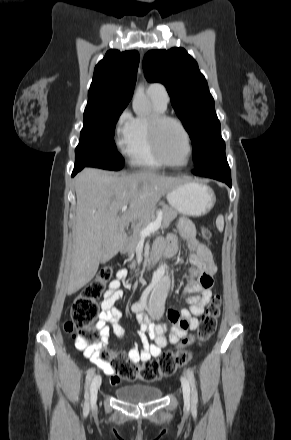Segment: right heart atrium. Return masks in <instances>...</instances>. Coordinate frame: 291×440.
I'll list each match as a JSON object with an SVG mask.
<instances>
[{
    "label": "right heart atrium",
    "mask_w": 291,
    "mask_h": 440,
    "mask_svg": "<svg viewBox=\"0 0 291 440\" xmlns=\"http://www.w3.org/2000/svg\"><path fill=\"white\" fill-rule=\"evenodd\" d=\"M133 116L128 110H124L115 124V141L117 147L124 150L132 131Z\"/></svg>",
    "instance_id": "d8ad5b80"
}]
</instances>
